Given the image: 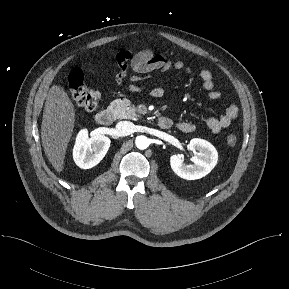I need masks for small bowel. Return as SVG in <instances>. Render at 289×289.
I'll return each instance as SVG.
<instances>
[{
	"instance_id": "c3829d8e",
	"label": "small bowel",
	"mask_w": 289,
	"mask_h": 289,
	"mask_svg": "<svg viewBox=\"0 0 289 289\" xmlns=\"http://www.w3.org/2000/svg\"><path fill=\"white\" fill-rule=\"evenodd\" d=\"M116 61L118 72L115 76V82L117 85H121L128 77L129 68L137 74H147L157 70L166 71L171 68L175 69L181 76L193 74V69L183 61L173 62L166 60L163 55L156 54L151 49H143L136 52L131 50L120 51L116 55ZM198 76L202 82L203 91L208 98L211 100L220 99L222 93L215 88L213 74L209 70H202L199 72ZM139 80L140 77L137 75L130 77V81L132 82V84L129 85L130 91H140L141 87L136 84ZM164 92L162 87H155L151 90V95L154 98H160L164 95ZM238 113L239 108L235 104H232L221 116L207 118L205 120V125L212 133H219L221 130L230 126ZM176 125L179 130L185 133L195 130V125L190 122H178Z\"/></svg>"
}]
</instances>
